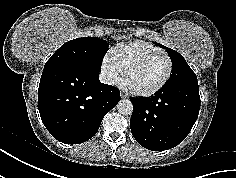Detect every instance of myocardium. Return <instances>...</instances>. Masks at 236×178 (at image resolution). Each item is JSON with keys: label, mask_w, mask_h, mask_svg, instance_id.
<instances>
[{"label": "myocardium", "mask_w": 236, "mask_h": 178, "mask_svg": "<svg viewBox=\"0 0 236 178\" xmlns=\"http://www.w3.org/2000/svg\"><path fill=\"white\" fill-rule=\"evenodd\" d=\"M159 55L165 56L168 59L169 68H168V72H167L166 76L157 86H155L154 88L148 89V90H136V89H133L127 85L126 78L134 69L139 67L141 64H143L147 60H149L155 56H159ZM172 73H173V60H172L171 56L168 53L163 52V51L153 52V53L147 54L145 56L136 58L135 60L130 62L123 70L122 83H123V86L125 87V89L133 95L143 96V97L151 96V95L157 93L158 91H160L168 83V81L170 80V78L172 76Z\"/></svg>", "instance_id": "f54148a6"}]
</instances>
